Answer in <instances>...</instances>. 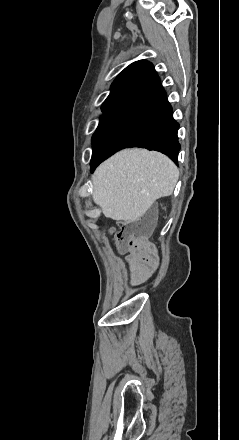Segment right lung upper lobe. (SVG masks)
Instances as JSON below:
<instances>
[{
    "instance_id": "cb5924a9",
    "label": "right lung upper lobe",
    "mask_w": 239,
    "mask_h": 440,
    "mask_svg": "<svg viewBox=\"0 0 239 440\" xmlns=\"http://www.w3.org/2000/svg\"><path fill=\"white\" fill-rule=\"evenodd\" d=\"M160 84L153 65L140 60L125 68L111 85V93L104 103L117 100H133ZM103 103V104H104Z\"/></svg>"
}]
</instances>
